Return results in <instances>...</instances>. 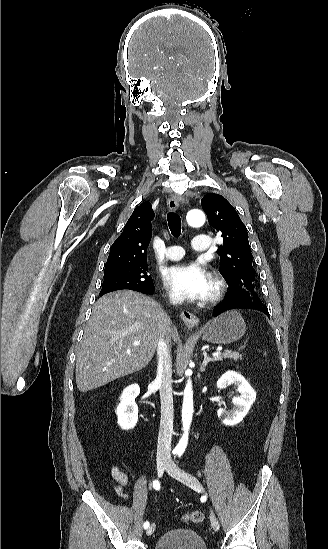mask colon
Returning <instances> with one entry per match:
<instances>
[{
    "label": "colon",
    "instance_id": "obj_1",
    "mask_svg": "<svg viewBox=\"0 0 328 549\" xmlns=\"http://www.w3.org/2000/svg\"><path fill=\"white\" fill-rule=\"evenodd\" d=\"M204 520V515L200 511H193L185 516V521L188 523L199 524Z\"/></svg>",
    "mask_w": 328,
    "mask_h": 549
}]
</instances>
